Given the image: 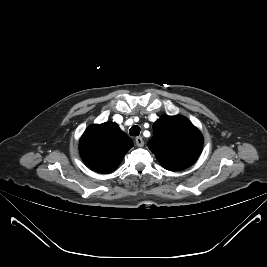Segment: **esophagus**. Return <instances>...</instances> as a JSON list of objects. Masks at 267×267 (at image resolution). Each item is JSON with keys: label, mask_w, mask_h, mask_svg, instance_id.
Instances as JSON below:
<instances>
[{"label": "esophagus", "mask_w": 267, "mask_h": 267, "mask_svg": "<svg viewBox=\"0 0 267 267\" xmlns=\"http://www.w3.org/2000/svg\"><path fill=\"white\" fill-rule=\"evenodd\" d=\"M135 143L138 147H143L144 146V141L142 137L138 136L135 138Z\"/></svg>", "instance_id": "34e87169"}]
</instances>
